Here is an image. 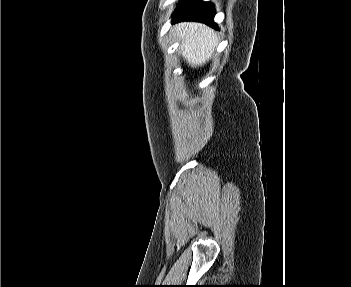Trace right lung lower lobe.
Returning <instances> with one entry per match:
<instances>
[{"instance_id": "1", "label": "right lung lower lobe", "mask_w": 351, "mask_h": 287, "mask_svg": "<svg viewBox=\"0 0 351 287\" xmlns=\"http://www.w3.org/2000/svg\"><path fill=\"white\" fill-rule=\"evenodd\" d=\"M214 15V6L209 2H203L202 0H182L173 15V22L198 21L218 29L213 22Z\"/></svg>"}]
</instances>
